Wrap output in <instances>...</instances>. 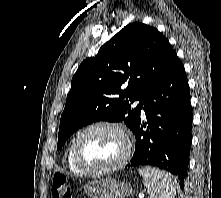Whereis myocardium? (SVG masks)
Returning a JSON list of instances; mask_svg holds the SVG:
<instances>
[{
    "instance_id": "f54148a6",
    "label": "myocardium",
    "mask_w": 221,
    "mask_h": 198,
    "mask_svg": "<svg viewBox=\"0 0 221 198\" xmlns=\"http://www.w3.org/2000/svg\"><path fill=\"white\" fill-rule=\"evenodd\" d=\"M98 128H108L117 131L122 136L125 143L124 152L120 157V159L116 163L103 168H93L84 164L79 154V144L81 139L90 131ZM132 149H133L132 139L129 133L126 131V129H124V127H122L120 124L115 122L99 121L90 124L89 126L85 127L77 134V136L74 138L72 145V156L75 164L82 172L90 175H105L115 172L121 169L122 167H124L131 157Z\"/></svg>"
}]
</instances>
